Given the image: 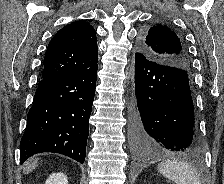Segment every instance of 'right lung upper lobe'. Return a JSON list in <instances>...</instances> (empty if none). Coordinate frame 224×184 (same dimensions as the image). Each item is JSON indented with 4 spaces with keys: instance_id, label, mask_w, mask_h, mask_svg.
Returning a JSON list of instances; mask_svg holds the SVG:
<instances>
[{
    "instance_id": "1",
    "label": "right lung upper lobe",
    "mask_w": 224,
    "mask_h": 184,
    "mask_svg": "<svg viewBox=\"0 0 224 184\" xmlns=\"http://www.w3.org/2000/svg\"><path fill=\"white\" fill-rule=\"evenodd\" d=\"M96 32L85 21L60 29L48 44L42 79L73 74L97 64Z\"/></svg>"
}]
</instances>
